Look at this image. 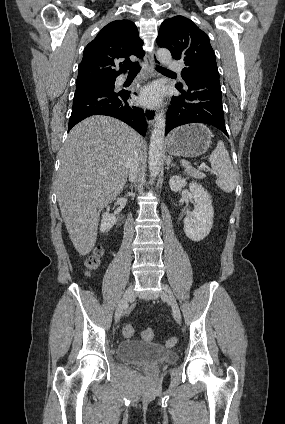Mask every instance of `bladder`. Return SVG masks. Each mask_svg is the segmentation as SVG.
Segmentation results:
<instances>
[{
  "label": "bladder",
  "mask_w": 285,
  "mask_h": 424,
  "mask_svg": "<svg viewBox=\"0 0 285 424\" xmlns=\"http://www.w3.org/2000/svg\"><path fill=\"white\" fill-rule=\"evenodd\" d=\"M118 356L125 361L137 364L170 363L177 359V353L155 343L126 340L118 346Z\"/></svg>",
  "instance_id": "1"
}]
</instances>
